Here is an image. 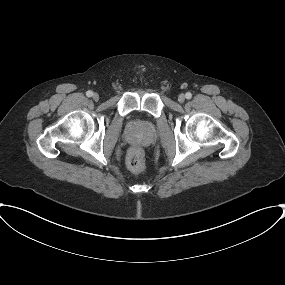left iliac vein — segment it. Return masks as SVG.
I'll list each match as a JSON object with an SVG mask.
<instances>
[{"mask_svg":"<svg viewBox=\"0 0 285 285\" xmlns=\"http://www.w3.org/2000/svg\"><path fill=\"white\" fill-rule=\"evenodd\" d=\"M178 101H179L180 103H183V102L185 101V95H184V94H180V95L178 96Z\"/></svg>","mask_w":285,"mask_h":285,"instance_id":"1","label":"left iliac vein"}]
</instances>
